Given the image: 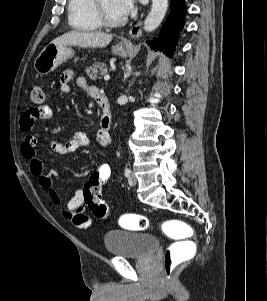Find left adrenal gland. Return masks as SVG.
Returning <instances> with one entry per match:
<instances>
[{
  "label": "left adrenal gland",
  "mask_w": 267,
  "mask_h": 301,
  "mask_svg": "<svg viewBox=\"0 0 267 301\" xmlns=\"http://www.w3.org/2000/svg\"><path fill=\"white\" fill-rule=\"evenodd\" d=\"M132 70H133V67L130 65V61L127 62L126 66H125V75H124V78H127L131 75L132 73Z\"/></svg>",
  "instance_id": "left-adrenal-gland-1"
}]
</instances>
